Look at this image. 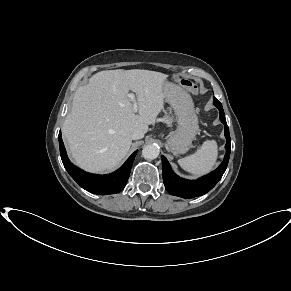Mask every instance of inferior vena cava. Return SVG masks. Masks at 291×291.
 I'll return each mask as SVG.
<instances>
[{
    "label": "inferior vena cava",
    "instance_id": "obj_1",
    "mask_svg": "<svg viewBox=\"0 0 291 291\" xmlns=\"http://www.w3.org/2000/svg\"><path fill=\"white\" fill-rule=\"evenodd\" d=\"M144 137V132L141 130H134L131 134V139L132 140H137V139H141Z\"/></svg>",
    "mask_w": 291,
    "mask_h": 291
}]
</instances>
